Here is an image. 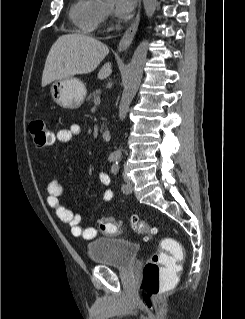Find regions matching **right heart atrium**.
Instances as JSON below:
<instances>
[{"label": "right heart atrium", "mask_w": 245, "mask_h": 319, "mask_svg": "<svg viewBox=\"0 0 245 319\" xmlns=\"http://www.w3.org/2000/svg\"><path fill=\"white\" fill-rule=\"evenodd\" d=\"M110 21V11L103 7L101 23L108 25Z\"/></svg>", "instance_id": "obj_1"}]
</instances>
